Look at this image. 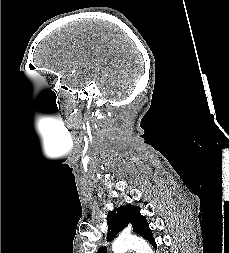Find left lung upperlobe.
<instances>
[{"mask_svg":"<svg viewBox=\"0 0 229 253\" xmlns=\"http://www.w3.org/2000/svg\"><path fill=\"white\" fill-rule=\"evenodd\" d=\"M129 222L132 224L136 233L144 237L150 243L154 241L152 231L149 228L146 218L140 214V208L134 207L131 204L115 208L113 211L108 213L107 240H113L116 235L128 225ZM96 253H107V249L106 247H100Z\"/></svg>","mask_w":229,"mask_h":253,"instance_id":"1","label":"left lung upper lobe"}]
</instances>
